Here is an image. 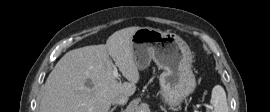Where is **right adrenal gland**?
Here are the masks:
<instances>
[{
  "mask_svg": "<svg viewBox=\"0 0 270 112\" xmlns=\"http://www.w3.org/2000/svg\"><path fill=\"white\" fill-rule=\"evenodd\" d=\"M117 106H114L109 112H113Z\"/></svg>",
  "mask_w": 270,
  "mask_h": 112,
  "instance_id": "2a0ac1e0",
  "label": "right adrenal gland"
}]
</instances>
